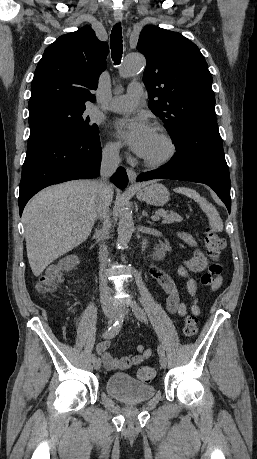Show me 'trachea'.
Listing matches in <instances>:
<instances>
[{
	"mask_svg": "<svg viewBox=\"0 0 257 459\" xmlns=\"http://www.w3.org/2000/svg\"><path fill=\"white\" fill-rule=\"evenodd\" d=\"M111 55L115 65H118L122 58L123 45H122V29L121 24L114 25L111 32Z\"/></svg>",
	"mask_w": 257,
	"mask_h": 459,
	"instance_id": "3493384b",
	"label": "trachea"
}]
</instances>
